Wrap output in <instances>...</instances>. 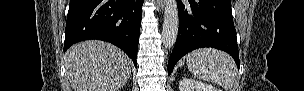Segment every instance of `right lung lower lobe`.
<instances>
[{"mask_svg":"<svg viewBox=\"0 0 304 91\" xmlns=\"http://www.w3.org/2000/svg\"><path fill=\"white\" fill-rule=\"evenodd\" d=\"M144 0H71L65 29L64 52L89 39L121 48L136 66Z\"/></svg>","mask_w":304,"mask_h":91,"instance_id":"obj_1","label":"right lung lower lobe"}]
</instances>
